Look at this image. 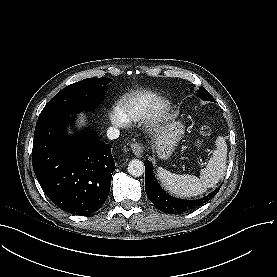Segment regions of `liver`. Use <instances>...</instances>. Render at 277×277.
I'll list each match as a JSON object with an SVG mask.
<instances>
[{
  "label": "liver",
  "instance_id": "liver-1",
  "mask_svg": "<svg viewBox=\"0 0 277 277\" xmlns=\"http://www.w3.org/2000/svg\"><path fill=\"white\" fill-rule=\"evenodd\" d=\"M83 121H84L83 118H80V120L78 121V124L79 125L83 124Z\"/></svg>",
  "mask_w": 277,
  "mask_h": 277
}]
</instances>
